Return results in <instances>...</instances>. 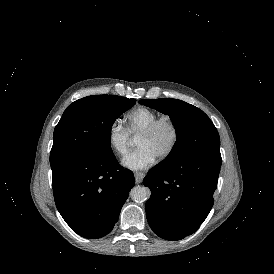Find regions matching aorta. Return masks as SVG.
<instances>
[{
  "instance_id": "1",
  "label": "aorta",
  "mask_w": 274,
  "mask_h": 274,
  "mask_svg": "<svg viewBox=\"0 0 274 274\" xmlns=\"http://www.w3.org/2000/svg\"><path fill=\"white\" fill-rule=\"evenodd\" d=\"M150 190L145 186H134L130 191V197L136 203H141L150 198Z\"/></svg>"
}]
</instances>
